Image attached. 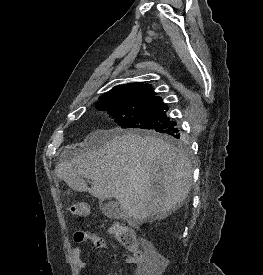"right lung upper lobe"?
Listing matches in <instances>:
<instances>
[{
    "instance_id": "1",
    "label": "right lung upper lobe",
    "mask_w": 263,
    "mask_h": 275,
    "mask_svg": "<svg viewBox=\"0 0 263 275\" xmlns=\"http://www.w3.org/2000/svg\"><path fill=\"white\" fill-rule=\"evenodd\" d=\"M109 93H125L131 97L139 98L156 97V93L154 92L153 87L149 84H144L143 82L119 85L107 92L106 94Z\"/></svg>"
}]
</instances>
